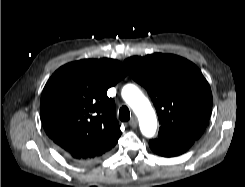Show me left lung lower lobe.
<instances>
[{
	"mask_svg": "<svg viewBox=\"0 0 245 187\" xmlns=\"http://www.w3.org/2000/svg\"><path fill=\"white\" fill-rule=\"evenodd\" d=\"M195 139L182 140H160L149 141L150 148L158 155L164 157H175L186 152L195 142Z\"/></svg>",
	"mask_w": 245,
	"mask_h": 187,
	"instance_id": "1",
	"label": "left lung lower lobe"
}]
</instances>
